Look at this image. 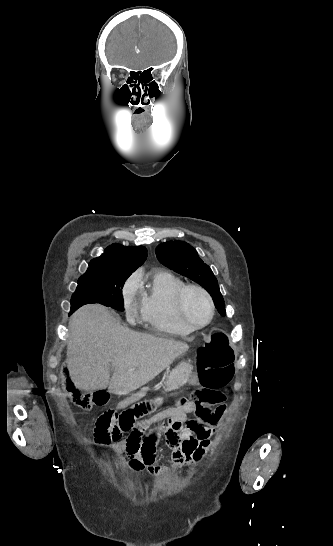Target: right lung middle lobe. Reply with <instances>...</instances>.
Here are the masks:
<instances>
[{"label":"right lung middle lobe","instance_id":"obj_1","mask_svg":"<svg viewBox=\"0 0 333 546\" xmlns=\"http://www.w3.org/2000/svg\"><path fill=\"white\" fill-rule=\"evenodd\" d=\"M133 271L111 268H95L86 271L78 280V286L71 299L70 314L89 303L123 311L122 288Z\"/></svg>","mask_w":333,"mask_h":546}]
</instances>
